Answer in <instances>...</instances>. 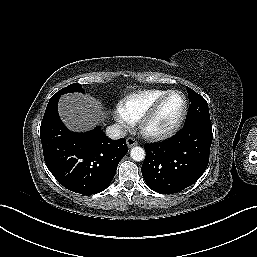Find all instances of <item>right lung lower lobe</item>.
Listing matches in <instances>:
<instances>
[{"instance_id":"obj_1","label":"right lung lower lobe","mask_w":257,"mask_h":257,"mask_svg":"<svg viewBox=\"0 0 257 257\" xmlns=\"http://www.w3.org/2000/svg\"><path fill=\"white\" fill-rule=\"evenodd\" d=\"M53 95L41 122L44 160L52 175L65 188L83 195L105 190L128 152L124 138L111 140L99 127L87 133L69 131L62 123Z\"/></svg>"}]
</instances>
